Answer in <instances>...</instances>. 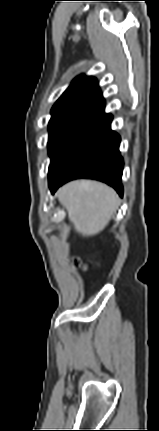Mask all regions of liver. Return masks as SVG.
<instances>
[{"mask_svg":"<svg viewBox=\"0 0 159 431\" xmlns=\"http://www.w3.org/2000/svg\"><path fill=\"white\" fill-rule=\"evenodd\" d=\"M74 229L82 236L101 232L119 206L116 192L109 186L91 180H77L57 192Z\"/></svg>","mask_w":159,"mask_h":431,"instance_id":"obj_1","label":"liver"}]
</instances>
